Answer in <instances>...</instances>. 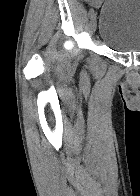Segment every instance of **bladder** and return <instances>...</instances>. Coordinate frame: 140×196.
Instances as JSON below:
<instances>
[{"instance_id":"1","label":"bladder","mask_w":140,"mask_h":196,"mask_svg":"<svg viewBox=\"0 0 140 196\" xmlns=\"http://www.w3.org/2000/svg\"><path fill=\"white\" fill-rule=\"evenodd\" d=\"M99 34L113 51L140 53V0H106L101 7Z\"/></svg>"}]
</instances>
